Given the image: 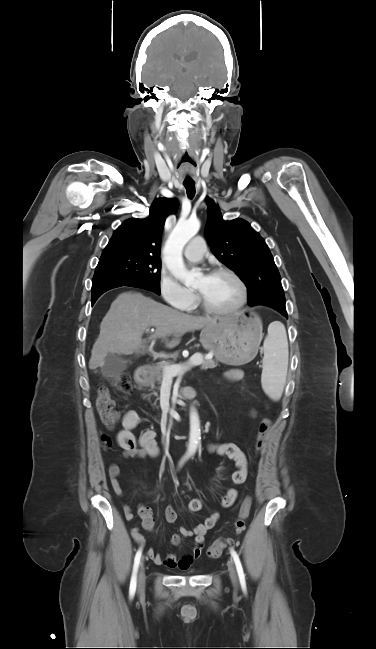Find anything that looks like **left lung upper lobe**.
Here are the masks:
<instances>
[{
    "instance_id": "1",
    "label": "left lung upper lobe",
    "mask_w": 376,
    "mask_h": 649,
    "mask_svg": "<svg viewBox=\"0 0 376 649\" xmlns=\"http://www.w3.org/2000/svg\"><path fill=\"white\" fill-rule=\"evenodd\" d=\"M208 201L205 236L213 254L236 270L248 286V305L285 309L281 278L273 256L262 237L243 219L224 221L218 206Z\"/></svg>"
}]
</instances>
